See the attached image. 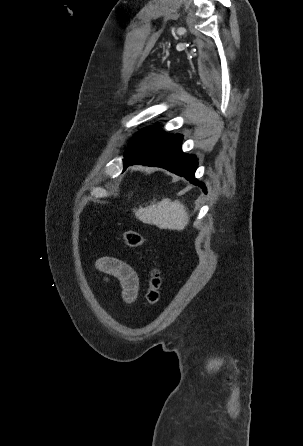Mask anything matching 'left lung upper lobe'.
<instances>
[{
    "label": "left lung upper lobe",
    "instance_id": "obj_1",
    "mask_svg": "<svg viewBox=\"0 0 303 446\" xmlns=\"http://www.w3.org/2000/svg\"><path fill=\"white\" fill-rule=\"evenodd\" d=\"M172 134L165 133L162 129H150L144 128L135 135L134 141L129 145L125 152L124 162L132 157L141 154L150 146L161 141L164 138L171 136Z\"/></svg>",
    "mask_w": 303,
    "mask_h": 446
}]
</instances>
